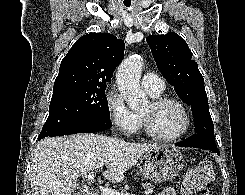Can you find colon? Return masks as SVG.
Here are the masks:
<instances>
[{
  "instance_id": "1",
  "label": "colon",
  "mask_w": 245,
  "mask_h": 195,
  "mask_svg": "<svg viewBox=\"0 0 245 195\" xmlns=\"http://www.w3.org/2000/svg\"><path fill=\"white\" fill-rule=\"evenodd\" d=\"M214 178V169L210 161H202L185 174L182 195H210L206 185Z\"/></svg>"
}]
</instances>
